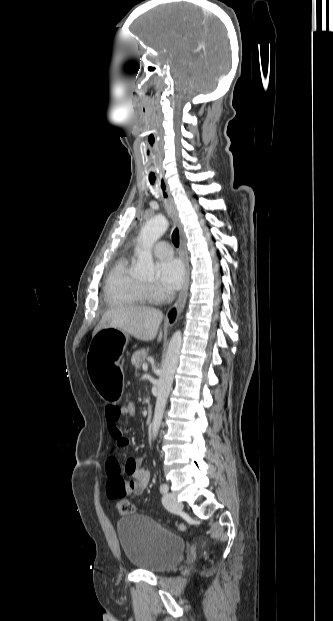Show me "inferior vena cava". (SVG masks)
<instances>
[{"label":"inferior vena cava","instance_id":"602c4592","mask_svg":"<svg viewBox=\"0 0 333 621\" xmlns=\"http://www.w3.org/2000/svg\"><path fill=\"white\" fill-rule=\"evenodd\" d=\"M174 300V293H169L168 295V302H172Z\"/></svg>","mask_w":333,"mask_h":621}]
</instances>
